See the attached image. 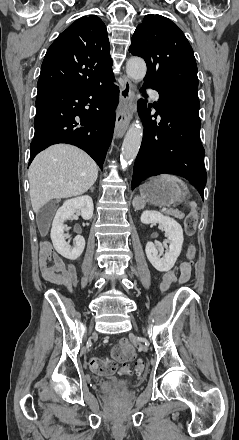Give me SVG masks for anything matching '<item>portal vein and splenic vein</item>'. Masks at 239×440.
I'll use <instances>...</instances> for the list:
<instances>
[{
    "label": "portal vein and splenic vein",
    "mask_w": 239,
    "mask_h": 440,
    "mask_svg": "<svg viewBox=\"0 0 239 440\" xmlns=\"http://www.w3.org/2000/svg\"><path fill=\"white\" fill-rule=\"evenodd\" d=\"M168 209H167V207L165 206V207H162V212H166Z\"/></svg>",
    "instance_id": "portal-vein-and-splenic-vein-1"
}]
</instances>
